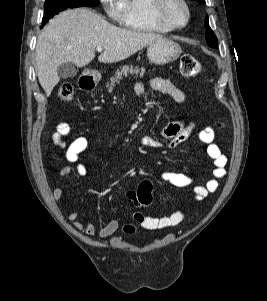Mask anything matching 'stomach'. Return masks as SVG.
Returning a JSON list of instances; mask_svg holds the SVG:
<instances>
[{"mask_svg": "<svg viewBox=\"0 0 267 301\" xmlns=\"http://www.w3.org/2000/svg\"><path fill=\"white\" fill-rule=\"evenodd\" d=\"M181 53L182 49L178 43L165 38L158 39L147 47V57L151 63L156 65L173 62ZM93 77L95 80H98L101 75L97 73Z\"/></svg>", "mask_w": 267, "mask_h": 301, "instance_id": "obj_1", "label": "stomach"}]
</instances>
